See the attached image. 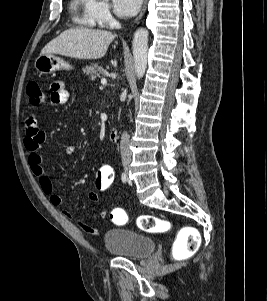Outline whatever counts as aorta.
Returning a JSON list of instances; mask_svg holds the SVG:
<instances>
[{
    "label": "aorta",
    "instance_id": "762f6f07",
    "mask_svg": "<svg viewBox=\"0 0 267 301\" xmlns=\"http://www.w3.org/2000/svg\"><path fill=\"white\" fill-rule=\"evenodd\" d=\"M148 36V30L140 28L133 38L134 70L138 79L143 77L147 68Z\"/></svg>",
    "mask_w": 267,
    "mask_h": 301
}]
</instances>
